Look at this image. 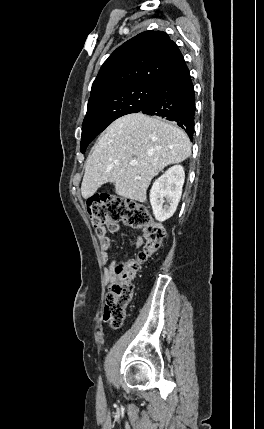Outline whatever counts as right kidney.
Returning a JSON list of instances; mask_svg holds the SVG:
<instances>
[{
  "label": "right kidney",
  "instance_id": "ca27d5eb",
  "mask_svg": "<svg viewBox=\"0 0 264 429\" xmlns=\"http://www.w3.org/2000/svg\"><path fill=\"white\" fill-rule=\"evenodd\" d=\"M185 172L181 165L169 168L150 190V204L155 219L163 222L173 216L182 194ZM167 202L166 205L164 203Z\"/></svg>",
  "mask_w": 264,
  "mask_h": 429
}]
</instances>
